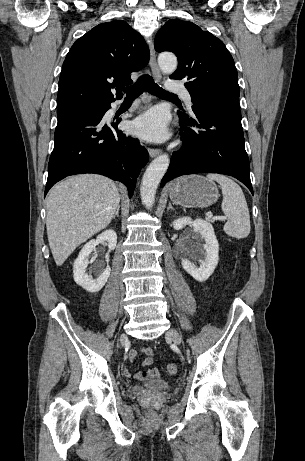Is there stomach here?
Instances as JSON below:
<instances>
[{
  "label": "stomach",
  "instance_id": "0dacf381",
  "mask_svg": "<svg viewBox=\"0 0 305 461\" xmlns=\"http://www.w3.org/2000/svg\"><path fill=\"white\" fill-rule=\"evenodd\" d=\"M172 202L187 208H205L219 198L217 185L200 175L182 177L169 188Z\"/></svg>",
  "mask_w": 305,
  "mask_h": 461
}]
</instances>
